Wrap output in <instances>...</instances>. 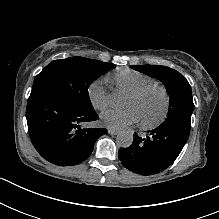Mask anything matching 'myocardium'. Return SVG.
<instances>
[{
	"mask_svg": "<svg viewBox=\"0 0 219 219\" xmlns=\"http://www.w3.org/2000/svg\"><path fill=\"white\" fill-rule=\"evenodd\" d=\"M152 90H158L162 93L163 98H164V109H163V113H162L161 117L155 122L150 123V122H146L144 120H140L141 126L147 130L156 129V128L160 127L166 121V119L169 115L170 105H171V97H170L169 91L165 86L157 84V83H153V84L145 85V86L129 93L130 97H140L143 94H145L149 91H152Z\"/></svg>",
	"mask_w": 219,
	"mask_h": 219,
	"instance_id": "f54148a6",
	"label": "myocardium"
}]
</instances>
